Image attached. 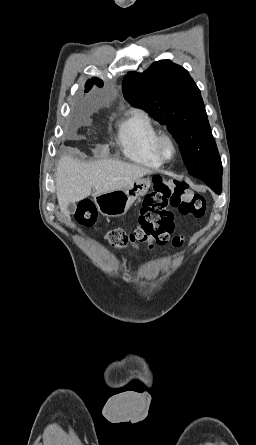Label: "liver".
Segmentation results:
<instances>
[{"mask_svg":"<svg viewBox=\"0 0 256 445\" xmlns=\"http://www.w3.org/2000/svg\"><path fill=\"white\" fill-rule=\"evenodd\" d=\"M150 169L118 160H98L83 163L63 156L56 168V194L60 210L68 215V205L92 194L98 195L128 187Z\"/></svg>","mask_w":256,"mask_h":445,"instance_id":"6515ba94","label":"liver"}]
</instances>
